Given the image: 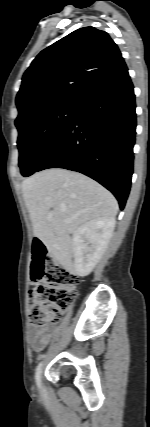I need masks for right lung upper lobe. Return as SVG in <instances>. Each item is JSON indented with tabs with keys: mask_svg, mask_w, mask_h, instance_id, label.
Masks as SVG:
<instances>
[{
	"mask_svg": "<svg viewBox=\"0 0 150 427\" xmlns=\"http://www.w3.org/2000/svg\"><path fill=\"white\" fill-rule=\"evenodd\" d=\"M126 70L117 45L105 31L75 30L44 49L24 73L16 97L18 118L40 107L78 106Z\"/></svg>",
	"mask_w": 150,
	"mask_h": 427,
	"instance_id": "obj_1",
	"label": "right lung upper lobe"
}]
</instances>
